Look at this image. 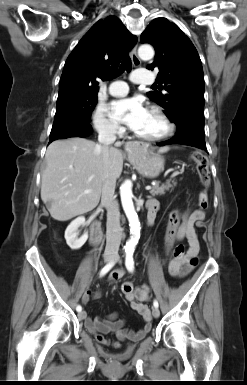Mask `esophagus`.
I'll return each instance as SVG.
<instances>
[{
	"mask_svg": "<svg viewBox=\"0 0 247 385\" xmlns=\"http://www.w3.org/2000/svg\"><path fill=\"white\" fill-rule=\"evenodd\" d=\"M137 46L138 44H136L133 49L131 50V60H132V63L134 66H139L141 64V60L139 59L138 55H137ZM135 145L132 144V143H127L126 144V147L127 148H133Z\"/></svg>",
	"mask_w": 247,
	"mask_h": 385,
	"instance_id": "esophagus-1",
	"label": "esophagus"
}]
</instances>
